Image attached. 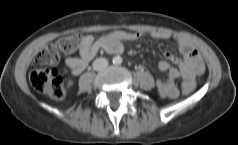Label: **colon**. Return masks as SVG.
Here are the masks:
<instances>
[{
	"label": "colon",
	"mask_w": 238,
	"mask_h": 145,
	"mask_svg": "<svg viewBox=\"0 0 238 145\" xmlns=\"http://www.w3.org/2000/svg\"><path fill=\"white\" fill-rule=\"evenodd\" d=\"M81 41V36L72 35L64 37L47 45L35 58V66L30 72L29 79L33 88L55 100H61L65 96V84L63 78L54 67L59 63L62 53L74 52ZM193 86L182 84V93L189 94Z\"/></svg>",
	"instance_id": "5ec220e1"
}]
</instances>
